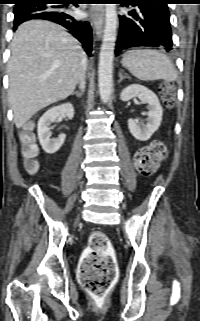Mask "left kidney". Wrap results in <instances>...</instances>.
<instances>
[{"mask_svg":"<svg viewBox=\"0 0 200 321\" xmlns=\"http://www.w3.org/2000/svg\"><path fill=\"white\" fill-rule=\"evenodd\" d=\"M138 97L143 103L148 105L147 123L138 124L135 120H128V128L131 134L139 141H147L153 133L159 128L163 109L158 97L150 89L137 84H132L122 90L120 99L122 101H129L130 99Z\"/></svg>","mask_w":200,"mask_h":321,"instance_id":"1","label":"left kidney"}]
</instances>
